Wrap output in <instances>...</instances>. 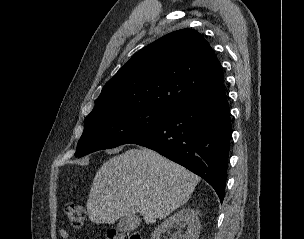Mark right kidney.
Returning <instances> with one entry per match:
<instances>
[{
	"label": "right kidney",
	"instance_id": "right-kidney-1",
	"mask_svg": "<svg viewBox=\"0 0 304 239\" xmlns=\"http://www.w3.org/2000/svg\"><path fill=\"white\" fill-rule=\"evenodd\" d=\"M174 224L180 225V229L172 235V239H198L200 233V222L196 212L191 208H183L174 215L165 219L160 225L155 228L151 239H160L169 227ZM187 228L185 233L181 228Z\"/></svg>",
	"mask_w": 304,
	"mask_h": 239
}]
</instances>
